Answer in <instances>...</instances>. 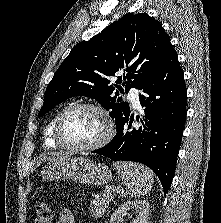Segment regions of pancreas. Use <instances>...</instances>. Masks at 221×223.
I'll return each mask as SVG.
<instances>
[{
	"label": "pancreas",
	"mask_w": 221,
	"mask_h": 223,
	"mask_svg": "<svg viewBox=\"0 0 221 223\" xmlns=\"http://www.w3.org/2000/svg\"><path fill=\"white\" fill-rule=\"evenodd\" d=\"M111 201L112 197L110 196L109 193L103 194V196L100 199H96L90 204L89 207L90 215L94 218L102 217Z\"/></svg>",
	"instance_id": "pancreas-1"
}]
</instances>
